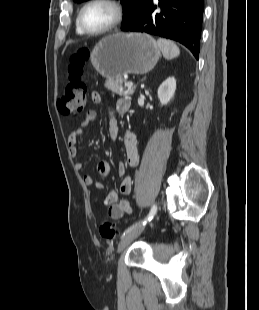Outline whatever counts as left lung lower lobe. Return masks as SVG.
<instances>
[{"mask_svg": "<svg viewBox=\"0 0 259 310\" xmlns=\"http://www.w3.org/2000/svg\"><path fill=\"white\" fill-rule=\"evenodd\" d=\"M150 0L141 15L121 30L146 32L185 45L198 59L204 0ZM160 8V10H159Z\"/></svg>", "mask_w": 259, "mask_h": 310, "instance_id": "0a47b994", "label": "left lung lower lobe"}]
</instances>
